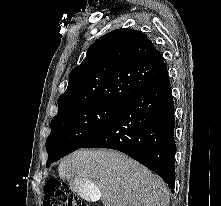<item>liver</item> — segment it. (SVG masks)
Listing matches in <instances>:
<instances>
[{
	"label": "liver",
	"instance_id": "6515ba94",
	"mask_svg": "<svg viewBox=\"0 0 221 206\" xmlns=\"http://www.w3.org/2000/svg\"><path fill=\"white\" fill-rule=\"evenodd\" d=\"M59 176L76 184H90L104 206H169L164 181L130 157L114 150H78L59 164Z\"/></svg>",
	"mask_w": 221,
	"mask_h": 206
}]
</instances>
